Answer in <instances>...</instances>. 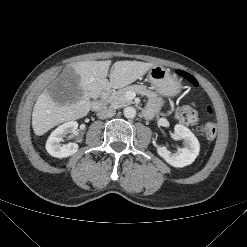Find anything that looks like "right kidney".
<instances>
[{
    "mask_svg": "<svg viewBox=\"0 0 247 247\" xmlns=\"http://www.w3.org/2000/svg\"><path fill=\"white\" fill-rule=\"evenodd\" d=\"M77 127L78 123L76 121H70L56 128L46 142L47 152L57 158H64L75 154L78 151V144L68 143L62 145L60 142L63 141L67 134L74 133Z\"/></svg>",
    "mask_w": 247,
    "mask_h": 247,
    "instance_id": "obj_1",
    "label": "right kidney"
}]
</instances>
